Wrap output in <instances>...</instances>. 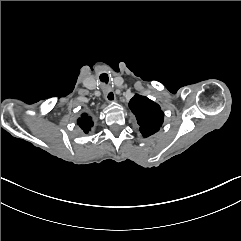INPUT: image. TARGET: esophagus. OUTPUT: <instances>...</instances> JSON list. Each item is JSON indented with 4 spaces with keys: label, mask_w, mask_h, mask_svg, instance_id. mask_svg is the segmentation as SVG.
<instances>
[{
    "label": "esophagus",
    "mask_w": 241,
    "mask_h": 241,
    "mask_svg": "<svg viewBox=\"0 0 241 241\" xmlns=\"http://www.w3.org/2000/svg\"><path fill=\"white\" fill-rule=\"evenodd\" d=\"M104 97L109 103H113L116 101L115 93L110 87H106L104 89Z\"/></svg>",
    "instance_id": "1"
}]
</instances>
